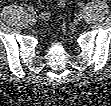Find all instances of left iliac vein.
Listing matches in <instances>:
<instances>
[{
	"label": "left iliac vein",
	"instance_id": "obj_1",
	"mask_svg": "<svg viewBox=\"0 0 111 106\" xmlns=\"http://www.w3.org/2000/svg\"><path fill=\"white\" fill-rule=\"evenodd\" d=\"M83 18H84V14H83V13H79V14H77V16H76V19H77L78 21H81Z\"/></svg>",
	"mask_w": 111,
	"mask_h": 106
}]
</instances>
